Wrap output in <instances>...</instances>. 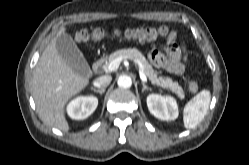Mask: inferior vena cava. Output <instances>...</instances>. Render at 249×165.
I'll list each match as a JSON object with an SVG mask.
<instances>
[{"label": "inferior vena cava", "instance_id": "1", "mask_svg": "<svg viewBox=\"0 0 249 165\" xmlns=\"http://www.w3.org/2000/svg\"><path fill=\"white\" fill-rule=\"evenodd\" d=\"M112 77L110 75H103L96 78L93 85L97 88H105L111 83Z\"/></svg>", "mask_w": 249, "mask_h": 165}]
</instances>
